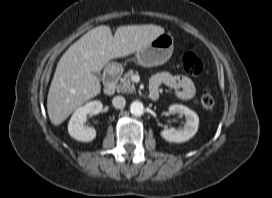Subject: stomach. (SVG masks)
I'll list each match as a JSON object with an SVG mask.
<instances>
[{"instance_id":"1","label":"stomach","mask_w":272,"mask_h":198,"mask_svg":"<svg viewBox=\"0 0 272 198\" xmlns=\"http://www.w3.org/2000/svg\"><path fill=\"white\" fill-rule=\"evenodd\" d=\"M173 49V37L168 33L161 34L147 47L137 51L135 59L143 67L162 65L170 59Z\"/></svg>"}]
</instances>
